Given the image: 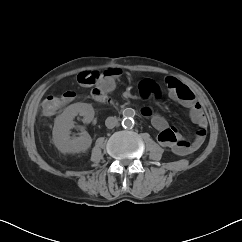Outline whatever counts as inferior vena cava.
<instances>
[{"instance_id":"602c4592","label":"inferior vena cava","mask_w":242,"mask_h":242,"mask_svg":"<svg viewBox=\"0 0 242 242\" xmlns=\"http://www.w3.org/2000/svg\"><path fill=\"white\" fill-rule=\"evenodd\" d=\"M117 124H118V119L115 116L114 117H108L105 120V125L109 129L114 128Z\"/></svg>"}]
</instances>
